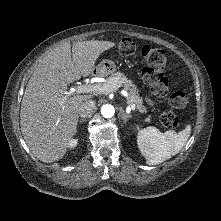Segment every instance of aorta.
Returning <instances> with one entry per match:
<instances>
[{"label": "aorta", "mask_w": 221, "mask_h": 221, "mask_svg": "<svg viewBox=\"0 0 221 221\" xmlns=\"http://www.w3.org/2000/svg\"><path fill=\"white\" fill-rule=\"evenodd\" d=\"M115 113V109L110 104H105L101 107V114L105 118H111Z\"/></svg>", "instance_id": "aorta-1"}]
</instances>
